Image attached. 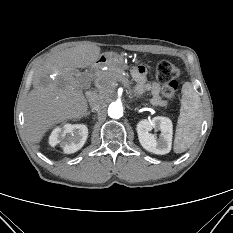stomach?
Masks as SVG:
<instances>
[{"mask_svg":"<svg viewBox=\"0 0 233 233\" xmlns=\"http://www.w3.org/2000/svg\"><path fill=\"white\" fill-rule=\"evenodd\" d=\"M99 65H107L110 68H120L125 69L126 63H125V57L122 54H118L116 52H107L102 55H100L98 59Z\"/></svg>","mask_w":233,"mask_h":233,"instance_id":"0dacf381","label":"stomach"}]
</instances>
